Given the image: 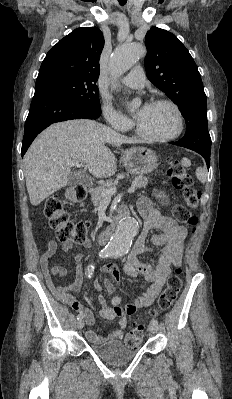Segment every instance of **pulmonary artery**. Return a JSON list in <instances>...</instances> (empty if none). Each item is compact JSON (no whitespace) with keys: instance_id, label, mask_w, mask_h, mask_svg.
Returning <instances> with one entry per match:
<instances>
[{"instance_id":"e3ab8cb5","label":"pulmonary artery","mask_w":232,"mask_h":399,"mask_svg":"<svg viewBox=\"0 0 232 399\" xmlns=\"http://www.w3.org/2000/svg\"><path fill=\"white\" fill-rule=\"evenodd\" d=\"M123 82L126 84V90H140V84H145V77L139 69H132L130 75L124 77Z\"/></svg>"}]
</instances>
